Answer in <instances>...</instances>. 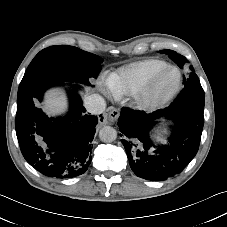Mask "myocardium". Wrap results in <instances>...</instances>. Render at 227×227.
<instances>
[{
    "label": "myocardium",
    "mask_w": 227,
    "mask_h": 227,
    "mask_svg": "<svg viewBox=\"0 0 227 227\" xmlns=\"http://www.w3.org/2000/svg\"><path fill=\"white\" fill-rule=\"evenodd\" d=\"M169 71H175L177 73V80L167 92L158 94L157 87L159 81L163 75ZM181 83V71L175 66L168 65L153 75V77L146 83L144 87L133 94L134 105L141 110H157L165 106L176 96L180 90Z\"/></svg>",
    "instance_id": "obj_1"
}]
</instances>
